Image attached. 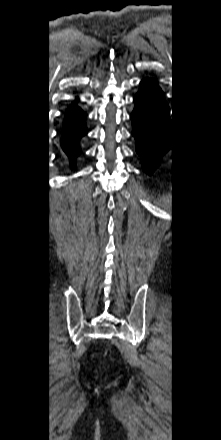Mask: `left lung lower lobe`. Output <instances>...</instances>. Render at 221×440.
<instances>
[{"instance_id": "obj_1", "label": "left lung lower lobe", "mask_w": 221, "mask_h": 440, "mask_svg": "<svg viewBox=\"0 0 221 440\" xmlns=\"http://www.w3.org/2000/svg\"><path fill=\"white\" fill-rule=\"evenodd\" d=\"M135 108L130 116L136 151L142 157L144 169L152 174L161 157L171 149V120L164 95L153 79L141 81L134 97Z\"/></svg>"}]
</instances>
